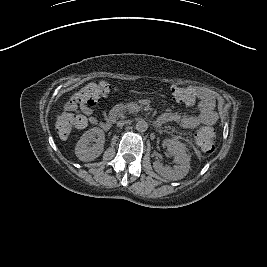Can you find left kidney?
<instances>
[{
	"mask_svg": "<svg viewBox=\"0 0 267 267\" xmlns=\"http://www.w3.org/2000/svg\"><path fill=\"white\" fill-rule=\"evenodd\" d=\"M168 152L174 157L176 165L173 167L164 166L161 161L153 162L154 170L168 180H180L187 175L190 169V155L187 154L185 147L173 139L163 141Z\"/></svg>",
	"mask_w": 267,
	"mask_h": 267,
	"instance_id": "obj_1",
	"label": "left kidney"
}]
</instances>
